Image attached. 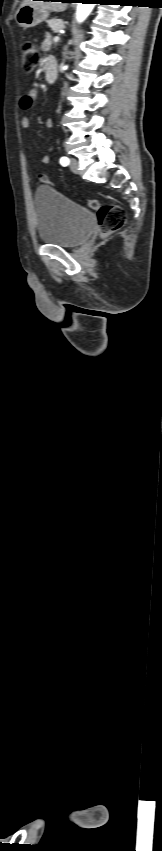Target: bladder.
Wrapping results in <instances>:
<instances>
[{
  "mask_svg": "<svg viewBox=\"0 0 162 851\" xmlns=\"http://www.w3.org/2000/svg\"><path fill=\"white\" fill-rule=\"evenodd\" d=\"M38 238L43 244L72 248L85 242L96 218L88 208L53 187L39 186L34 195Z\"/></svg>",
  "mask_w": 162,
  "mask_h": 851,
  "instance_id": "1",
  "label": "bladder"
}]
</instances>
